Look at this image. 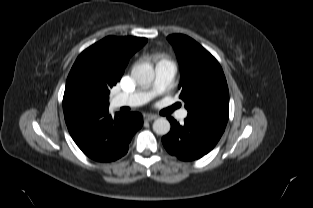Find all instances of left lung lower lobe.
<instances>
[{"label": "left lung lower lobe", "mask_w": 313, "mask_h": 208, "mask_svg": "<svg viewBox=\"0 0 313 208\" xmlns=\"http://www.w3.org/2000/svg\"><path fill=\"white\" fill-rule=\"evenodd\" d=\"M168 120L171 130L162 138V143L171 155L183 161L196 160L209 153L225 130V127L199 123L188 117L184 125L172 117Z\"/></svg>", "instance_id": "1"}]
</instances>
